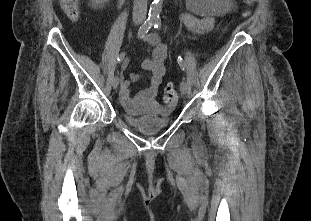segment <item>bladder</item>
Instances as JSON below:
<instances>
[{"label": "bladder", "mask_w": 311, "mask_h": 221, "mask_svg": "<svg viewBox=\"0 0 311 221\" xmlns=\"http://www.w3.org/2000/svg\"><path fill=\"white\" fill-rule=\"evenodd\" d=\"M157 100H155L156 102ZM133 108L131 104L120 108L123 121L126 125L133 126L140 134L155 135L172 125V108Z\"/></svg>", "instance_id": "1"}]
</instances>
